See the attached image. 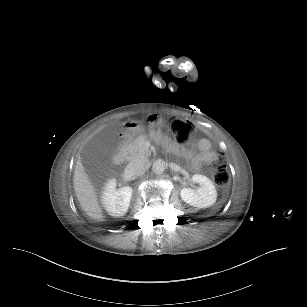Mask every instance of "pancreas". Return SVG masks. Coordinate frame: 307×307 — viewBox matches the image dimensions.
Here are the masks:
<instances>
[{"mask_svg":"<svg viewBox=\"0 0 307 307\" xmlns=\"http://www.w3.org/2000/svg\"><path fill=\"white\" fill-rule=\"evenodd\" d=\"M145 140H146V137L143 135L138 136L134 140V142L132 143L136 147V150L134 153L136 152L145 153L147 151L145 148Z\"/></svg>","mask_w":307,"mask_h":307,"instance_id":"pancreas-1","label":"pancreas"}]
</instances>
